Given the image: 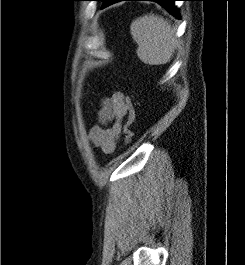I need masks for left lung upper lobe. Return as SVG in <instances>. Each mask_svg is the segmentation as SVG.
Segmentation results:
<instances>
[{
  "label": "left lung upper lobe",
  "instance_id": "5c2ea615",
  "mask_svg": "<svg viewBox=\"0 0 245 265\" xmlns=\"http://www.w3.org/2000/svg\"><path fill=\"white\" fill-rule=\"evenodd\" d=\"M98 1H103V2H104V1H106V0H98Z\"/></svg>",
  "mask_w": 245,
  "mask_h": 265
}]
</instances>
